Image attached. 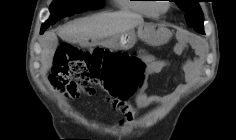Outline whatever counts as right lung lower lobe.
<instances>
[{
    "label": "right lung lower lobe",
    "instance_id": "obj_1",
    "mask_svg": "<svg viewBox=\"0 0 236 140\" xmlns=\"http://www.w3.org/2000/svg\"><path fill=\"white\" fill-rule=\"evenodd\" d=\"M46 29H41V33H43Z\"/></svg>",
    "mask_w": 236,
    "mask_h": 140
}]
</instances>
